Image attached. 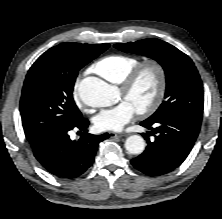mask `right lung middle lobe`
<instances>
[{"mask_svg": "<svg viewBox=\"0 0 222 219\" xmlns=\"http://www.w3.org/2000/svg\"><path fill=\"white\" fill-rule=\"evenodd\" d=\"M109 44L62 43L42 54L29 69L20 101L27 140L39 142L82 117L73 100L79 70Z\"/></svg>", "mask_w": 222, "mask_h": 219, "instance_id": "1", "label": "right lung middle lobe"}]
</instances>
